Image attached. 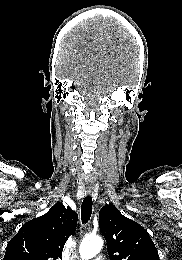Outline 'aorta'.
<instances>
[{"label":"aorta","instance_id":"762f6f07","mask_svg":"<svg viewBox=\"0 0 182 260\" xmlns=\"http://www.w3.org/2000/svg\"><path fill=\"white\" fill-rule=\"evenodd\" d=\"M103 240L99 236L85 237L79 247V253L82 260H90L95 257L102 249Z\"/></svg>","mask_w":182,"mask_h":260}]
</instances>
